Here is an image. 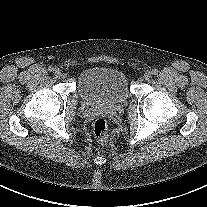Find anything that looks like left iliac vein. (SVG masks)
<instances>
[{
  "label": "left iliac vein",
  "instance_id": "left-iliac-vein-1",
  "mask_svg": "<svg viewBox=\"0 0 207 207\" xmlns=\"http://www.w3.org/2000/svg\"><path fill=\"white\" fill-rule=\"evenodd\" d=\"M151 76H152V72H150V71H147V72L144 73V79H145V80L150 79Z\"/></svg>",
  "mask_w": 207,
  "mask_h": 207
}]
</instances>
